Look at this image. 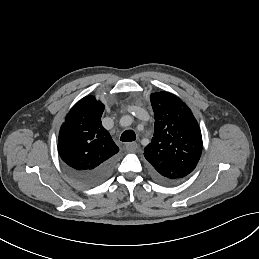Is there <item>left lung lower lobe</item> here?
Returning <instances> with one entry per match:
<instances>
[{
	"label": "left lung lower lobe",
	"mask_w": 259,
	"mask_h": 259,
	"mask_svg": "<svg viewBox=\"0 0 259 259\" xmlns=\"http://www.w3.org/2000/svg\"><path fill=\"white\" fill-rule=\"evenodd\" d=\"M153 176H154V178L156 180H158L161 183H164V184H172V183H174L173 181L166 180V179H164L162 177H159V176L155 175L154 173H153Z\"/></svg>",
	"instance_id": "1"
}]
</instances>
